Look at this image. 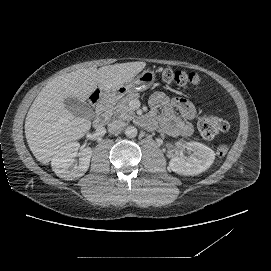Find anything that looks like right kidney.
Instances as JSON below:
<instances>
[{
	"mask_svg": "<svg viewBox=\"0 0 271 271\" xmlns=\"http://www.w3.org/2000/svg\"><path fill=\"white\" fill-rule=\"evenodd\" d=\"M79 148L78 142H71L55 152L51 159V166L58 177L72 180L82 177L86 173L90 165L92 149L87 147L78 153ZM76 157H79L78 161L75 159Z\"/></svg>",
	"mask_w": 271,
	"mask_h": 271,
	"instance_id": "obj_1",
	"label": "right kidney"
}]
</instances>
